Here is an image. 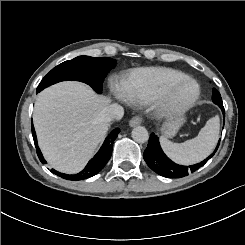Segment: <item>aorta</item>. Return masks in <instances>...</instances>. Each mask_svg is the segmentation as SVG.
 <instances>
[{
    "instance_id": "obj_1",
    "label": "aorta",
    "mask_w": 245,
    "mask_h": 245,
    "mask_svg": "<svg viewBox=\"0 0 245 245\" xmlns=\"http://www.w3.org/2000/svg\"><path fill=\"white\" fill-rule=\"evenodd\" d=\"M132 138L138 143H145L149 139V133L145 127L138 126L132 130Z\"/></svg>"
}]
</instances>
